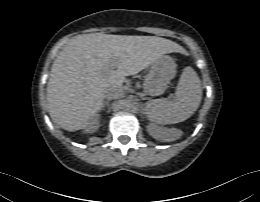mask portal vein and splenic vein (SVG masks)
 <instances>
[{
  "label": "portal vein and splenic vein",
  "instance_id": "18ae733b",
  "mask_svg": "<svg viewBox=\"0 0 260 202\" xmlns=\"http://www.w3.org/2000/svg\"><path fill=\"white\" fill-rule=\"evenodd\" d=\"M115 63L114 62H111L109 63L105 68L104 70L107 72V73H110L113 71V69L115 68Z\"/></svg>",
  "mask_w": 260,
  "mask_h": 202
}]
</instances>
